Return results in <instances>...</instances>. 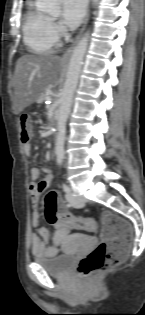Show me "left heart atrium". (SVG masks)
I'll return each instance as SVG.
<instances>
[{
    "instance_id": "obj_1",
    "label": "left heart atrium",
    "mask_w": 145,
    "mask_h": 315,
    "mask_svg": "<svg viewBox=\"0 0 145 315\" xmlns=\"http://www.w3.org/2000/svg\"><path fill=\"white\" fill-rule=\"evenodd\" d=\"M87 0H62V21L69 28L80 24L85 14Z\"/></svg>"
}]
</instances>
